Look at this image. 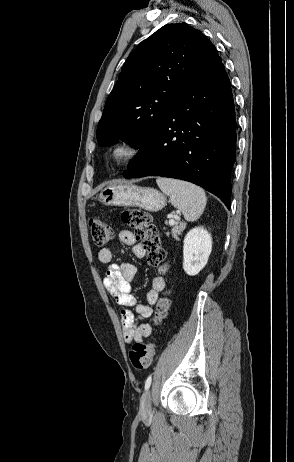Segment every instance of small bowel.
Returning <instances> with one entry per match:
<instances>
[{"instance_id": "1", "label": "small bowel", "mask_w": 294, "mask_h": 462, "mask_svg": "<svg viewBox=\"0 0 294 462\" xmlns=\"http://www.w3.org/2000/svg\"><path fill=\"white\" fill-rule=\"evenodd\" d=\"M121 242L132 247L133 254L142 258L145 255L143 249L136 243L135 236L128 230L119 232ZM99 261L106 264L107 271L103 284L107 292L115 299L117 304L123 307L121 310V325L124 340L127 343L133 341L142 342L144 338L152 333V326L148 323L137 324L135 313L140 319L149 318L155 305L159 300L161 291L165 288V280L161 276L152 279L151 289L145 294L146 304L137 302L132 292V281L136 276L137 268L131 263H116L113 261V253L108 248L98 252Z\"/></svg>"}]
</instances>
